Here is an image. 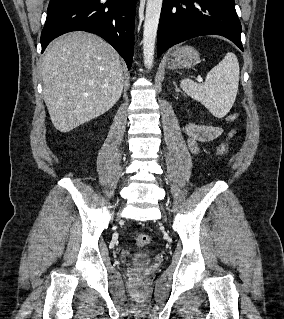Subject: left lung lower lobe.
I'll return each mask as SVG.
<instances>
[{"label": "left lung lower lobe", "mask_w": 284, "mask_h": 319, "mask_svg": "<svg viewBox=\"0 0 284 319\" xmlns=\"http://www.w3.org/2000/svg\"><path fill=\"white\" fill-rule=\"evenodd\" d=\"M202 35L224 36L244 51L234 0H163L158 56L175 44Z\"/></svg>", "instance_id": "0a47b994"}]
</instances>
